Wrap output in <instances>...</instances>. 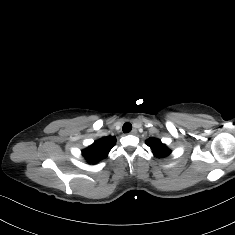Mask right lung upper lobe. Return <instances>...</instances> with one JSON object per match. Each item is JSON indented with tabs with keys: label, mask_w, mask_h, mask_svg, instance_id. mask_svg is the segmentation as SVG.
I'll use <instances>...</instances> for the list:
<instances>
[{
	"label": "right lung upper lobe",
	"mask_w": 235,
	"mask_h": 235,
	"mask_svg": "<svg viewBox=\"0 0 235 235\" xmlns=\"http://www.w3.org/2000/svg\"><path fill=\"white\" fill-rule=\"evenodd\" d=\"M115 143L116 138L114 136L103 137L84 149L82 154L89 163L95 164L108 155Z\"/></svg>",
	"instance_id": "obj_1"
}]
</instances>
